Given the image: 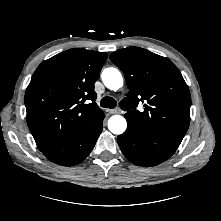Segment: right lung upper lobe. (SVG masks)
<instances>
[{"label":"right lung upper lobe","mask_w":221,"mask_h":221,"mask_svg":"<svg viewBox=\"0 0 221 221\" xmlns=\"http://www.w3.org/2000/svg\"><path fill=\"white\" fill-rule=\"evenodd\" d=\"M107 56L76 48L38 66L26 89L25 106L27 124L40 151L69 141L103 112L95 103L94 83Z\"/></svg>","instance_id":"1"}]
</instances>
